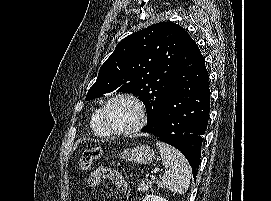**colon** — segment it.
Here are the masks:
<instances>
[{"label": "colon", "instance_id": "colon-1", "mask_svg": "<svg viewBox=\"0 0 271 201\" xmlns=\"http://www.w3.org/2000/svg\"><path fill=\"white\" fill-rule=\"evenodd\" d=\"M102 155V149L95 147L82 153L79 163L81 173H86L92 164Z\"/></svg>", "mask_w": 271, "mask_h": 201}]
</instances>
